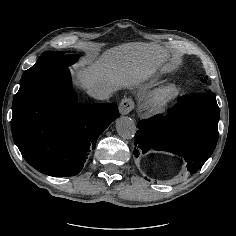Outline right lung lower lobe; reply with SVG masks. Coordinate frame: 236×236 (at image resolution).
Here are the masks:
<instances>
[{"label": "right lung lower lobe", "mask_w": 236, "mask_h": 236, "mask_svg": "<svg viewBox=\"0 0 236 236\" xmlns=\"http://www.w3.org/2000/svg\"><path fill=\"white\" fill-rule=\"evenodd\" d=\"M12 111V135L22 156L55 177L78 174L99 135L119 116L115 104L77 102L68 67L20 84Z\"/></svg>", "instance_id": "right-lung-lower-lobe-1"}]
</instances>
